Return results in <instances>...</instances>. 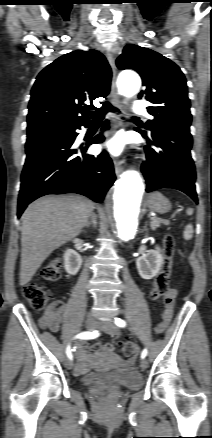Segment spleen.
Here are the masks:
<instances>
[{
  "label": "spleen",
  "instance_id": "spleen-1",
  "mask_svg": "<svg viewBox=\"0 0 212 438\" xmlns=\"http://www.w3.org/2000/svg\"><path fill=\"white\" fill-rule=\"evenodd\" d=\"M193 233H194V230H193L192 224H188V225H186V227L184 229L183 238L185 240H191L193 237Z\"/></svg>",
  "mask_w": 212,
  "mask_h": 438
}]
</instances>
